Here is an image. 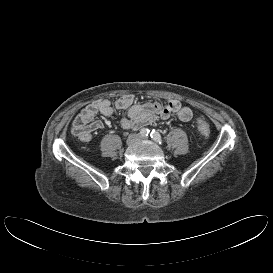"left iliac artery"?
Returning <instances> with one entry per match:
<instances>
[{"mask_svg": "<svg viewBox=\"0 0 273 273\" xmlns=\"http://www.w3.org/2000/svg\"><path fill=\"white\" fill-rule=\"evenodd\" d=\"M150 136L155 142H157L159 144L162 143L161 135L157 131L152 130Z\"/></svg>", "mask_w": 273, "mask_h": 273, "instance_id": "left-iliac-artery-1", "label": "left iliac artery"}]
</instances>
